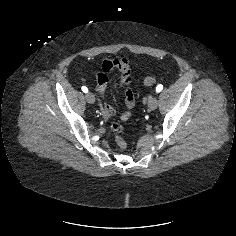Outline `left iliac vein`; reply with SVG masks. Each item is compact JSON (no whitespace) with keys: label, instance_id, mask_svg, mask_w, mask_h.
Returning a JSON list of instances; mask_svg holds the SVG:
<instances>
[{"label":"left iliac vein","instance_id":"4c4485c4","mask_svg":"<svg viewBox=\"0 0 236 236\" xmlns=\"http://www.w3.org/2000/svg\"><path fill=\"white\" fill-rule=\"evenodd\" d=\"M157 106H158V99H157V97H155V96L150 97L149 101H148L149 109L155 110L157 108Z\"/></svg>","mask_w":236,"mask_h":236}]
</instances>
